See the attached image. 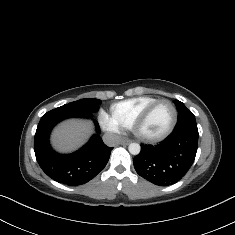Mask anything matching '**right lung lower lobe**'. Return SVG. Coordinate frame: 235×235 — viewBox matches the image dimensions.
Listing matches in <instances>:
<instances>
[{"instance_id":"1","label":"right lung lower lobe","mask_w":235,"mask_h":235,"mask_svg":"<svg viewBox=\"0 0 235 235\" xmlns=\"http://www.w3.org/2000/svg\"><path fill=\"white\" fill-rule=\"evenodd\" d=\"M70 117L92 118L93 115ZM70 117L55 110L43 115L35 133L34 151L46 175L69 186H77L90 181L106 166L113 148L103 143L98 122L94 120L96 134L86 145L68 155L55 152L49 144V134L58 122Z\"/></svg>"}]
</instances>
